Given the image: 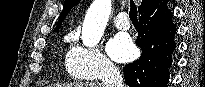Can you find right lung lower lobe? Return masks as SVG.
Wrapping results in <instances>:
<instances>
[{
  "mask_svg": "<svg viewBox=\"0 0 205 87\" xmlns=\"http://www.w3.org/2000/svg\"><path fill=\"white\" fill-rule=\"evenodd\" d=\"M168 0H157L140 12L137 45L141 57L124 67L130 87H167L175 50L176 26Z\"/></svg>",
  "mask_w": 205,
  "mask_h": 87,
  "instance_id": "right-lung-lower-lobe-1",
  "label": "right lung lower lobe"
}]
</instances>
